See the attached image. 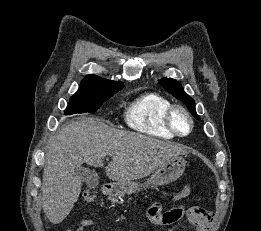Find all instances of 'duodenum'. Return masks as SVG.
<instances>
[{
    "instance_id": "1",
    "label": "duodenum",
    "mask_w": 261,
    "mask_h": 231,
    "mask_svg": "<svg viewBox=\"0 0 261 231\" xmlns=\"http://www.w3.org/2000/svg\"><path fill=\"white\" fill-rule=\"evenodd\" d=\"M101 192L104 194V195H108L111 193V189H110V186L108 185H102L101 188H100Z\"/></svg>"
}]
</instances>
